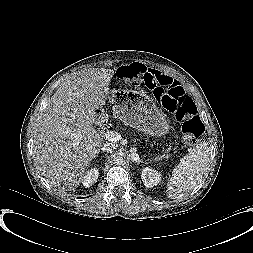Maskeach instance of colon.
Masks as SVG:
<instances>
[{
  "label": "colon",
  "mask_w": 253,
  "mask_h": 253,
  "mask_svg": "<svg viewBox=\"0 0 253 253\" xmlns=\"http://www.w3.org/2000/svg\"><path fill=\"white\" fill-rule=\"evenodd\" d=\"M146 73V67L133 63L121 66L117 76L133 86H139ZM158 103L182 123L184 141L191 145L200 141L204 134V124L197 115L196 106L181 86L158 87L153 93Z\"/></svg>",
  "instance_id": "5ec220e1"
}]
</instances>
